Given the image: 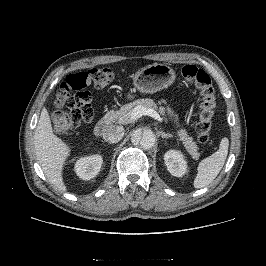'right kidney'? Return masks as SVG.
I'll return each instance as SVG.
<instances>
[{
    "instance_id": "obj_1",
    "label": "right kidney",
    "mask_w": 266,
    "mask_h": 266,
    "mask_svg": "<svg viewBox=\"0 0 266 266\" xmlns=\"http://www.w3.org/2000/svg\"><path fill=\"white\" fill-rule=\"evenodd\" d=\"M102 162V157L98 154L82 157L75 164V172L79 178L90 180L98 174Z\"/></svg>"
}]
</instances>
